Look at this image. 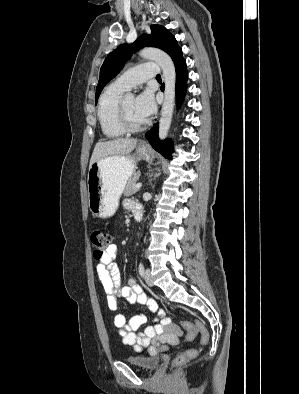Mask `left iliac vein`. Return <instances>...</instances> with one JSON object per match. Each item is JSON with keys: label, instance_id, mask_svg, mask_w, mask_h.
I'll use <instances>...</instances> for the list:
<instances>
[{"label": "left iliac vein", "instance_id": "4c4485c4", "mask_svg": "<svg viewBox=\"0 0 299 394\" xmlns=\"http://www.w3.org/2000/svg\"><path fill=\"white\" fill-rule=\"evenodd\" d=\"M145 282L148 286H153L154 282H153V278H152L150 269H146V271H145Z\"/></svg>", "mask_w": 299, "mask_h": 394}]
</instances>
